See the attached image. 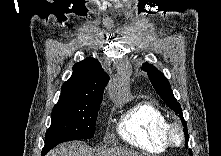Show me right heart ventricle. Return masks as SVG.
I'll return each mask as SVG.
<instances>
[{"instance_id":"right-heart-ventricle-1","label":"right heart ventricle","mask_w":221,"mask_h":156,"mask_svg":"<svg viewBox=\"0 0 221 156\" xmlns=\"http://www.w3.org/2000/svg\"><path fill=\"white\" fill-rule=\"evenodd\" d=\"M166 115L150 102H140L128 109L120 118L117 131L131 146L150 154H160L169 148Z\"/></svg>"}]
</instances>
